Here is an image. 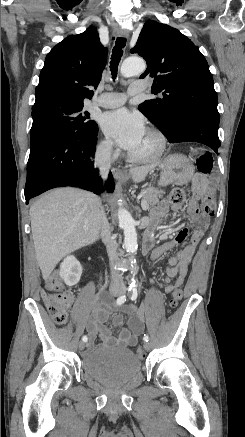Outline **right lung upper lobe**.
<instances>
[{"mask_svg": "<svg viewBox=\"0 0 245 437\" xmlns=\"http://www.w3.org/2000/svg\"><path fill=\"white\" fill-rule=\"evenodd\" d=\"M106 61L107 49L95 27L67 37L46 56L33 107L50 102L83 104L91 99L89 86L98 85Z\"/></svg>", "mask_w": 245, "mask_h": 437, "instance_id": "1", "label": "right lung upper lobe"}]
</instances>
